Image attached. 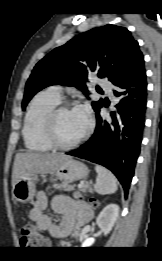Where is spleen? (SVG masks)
Returning <instances> with one entry per match:
<instances>
[{
	"label": "spleen",
	"instance_id": "spleen-1",
	"mask_svg": "<svg viewBox=\"0 0 162 261\" xmlns=\"http://www.w3.org/2000/svg\"><path fill=\"white\" fill-rule=\"evenodd\" d=\"M95 170L97 172V178L94 184V190L101 195L115 193L118 186L117 179L112 172L100 165H96Z\"/></svg>",
	"mask_w": 162,
	"mask_h": 261
}]
</instances>
